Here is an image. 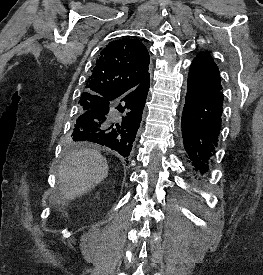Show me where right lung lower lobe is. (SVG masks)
Returning <instances> with one entry per match:
<instances>
[{
  "mask_svg": "<svg viewBox=\"0 0 263 275\" xmlns=\"http://www.w3.org/2000/svg\"><path fill=\"white\" fill-rule=\"evenodd\" d=\"M150 78L141 91L135 94L140 102L147 98ZM128 95L116 94L105 99L102 107L81 112L76 120L71 139L75 142L88 141L106 146L127 158L142 119V110L129 104ZM138 106V105H136ZM123 114L114 117L112 109Z\"/></svg>",
  "mask_w": 263,
  "mask_h": 275,
  "instance_id": "obj_1",
  "label": "right lung lower lobe"
}]
</instances>
